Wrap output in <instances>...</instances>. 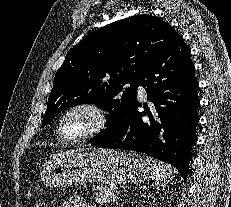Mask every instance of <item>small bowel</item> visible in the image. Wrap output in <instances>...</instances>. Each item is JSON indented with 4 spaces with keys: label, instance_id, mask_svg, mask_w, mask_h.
I'll return each mask as SVG.
<instances>
[{
    "label": "small bowel",
    "instance_id": "c3829d8e",
    "mask_svg": "<svg viewBox=\"0 0 231 207\" xmlns=\"http://www.w3.org/2000/svg\"><path fill=\"white\" fill-rule=\"evenodd\" d=\"M62 207H93L88 205L86 200L80 195L71 196L68 200H66Z\"/></svg>",
    "mask_w": 231,
    "mask_h": 207
}]
</instances>
